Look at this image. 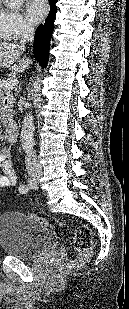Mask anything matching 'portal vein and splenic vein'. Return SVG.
I'll return each instance as SVG.
<instances>
[{
  "label": "portal vein and splenic vein",
  "mask_w": 129,
  "mask_h": 309,
  "mask_svg": "<svg viewBox=\"0 0 129 309\" xmlns=\"http://www.w3.org/2000/svg\"><path fill=\"white\" fill-rule=\"evenodd\" d=\"M18 85V80L15 78H11L5 82V87L8 89H14Z\"/></svg>",
  "instance_id": "1"
}]
</instances>
